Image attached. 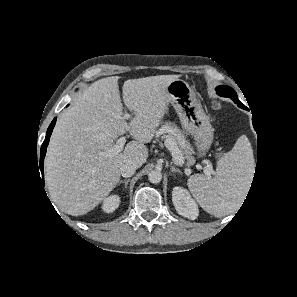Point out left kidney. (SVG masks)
I'll use <instances>...</instances> for the list:
<instances>
[{"label": "left kidney", "instance_id": "5707ae66", "mask_svg": "<svg viewBox=\"0 0 297 297\" xmlns=\"http://www.w3.org/2000/svg\"><path fill=\"white\" fill-rule=\"evenodd\" d=\"M172 201L176 211L183 217L191 220H195L198 217V206L186 189L174 187L172 191Z\"/></svg>", "mask_w": 297, "mask_h": 297}]
</instances>
